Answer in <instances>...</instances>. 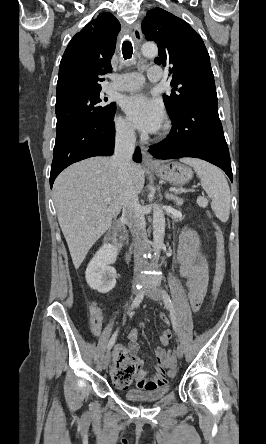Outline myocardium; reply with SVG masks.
I'll return each instance as SVG.
<instances>
[{"mask_svg": "<svg viewBox=\"0 0 266 444\" xmlns=\"http://www.w3.org/2000/svg\"><path fill=\"white\" fill-rule=\"evenodd\" d=\"M165 134V132H162L161 135Z\"/></svg>", "mask_w": 266, "mask_h": 444, "instance_id": "f54148a6", "label": "myocardium"}]
</instances>
